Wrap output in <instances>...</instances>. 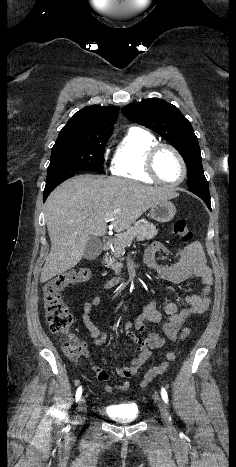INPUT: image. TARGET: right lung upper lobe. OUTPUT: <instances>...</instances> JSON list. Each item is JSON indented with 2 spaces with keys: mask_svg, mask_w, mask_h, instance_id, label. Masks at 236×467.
Here are the masks:
<instances>
[{
  "mask_svg": "<svg viewBox=\"0 0 236 467\" xmlns=\"http://www.w3.org/2000/svg\"><path fill=\"white\" fill-rule=\"evenodd\" d=\"M118 109L88 106L75 113L61 131L80 133H112Z\"/></svg>",
  "mask_w": 236,
  "mask_h": 467,
  "instance_id": "1",
  "label": "right lung upper lobe"
}]
</instances>
